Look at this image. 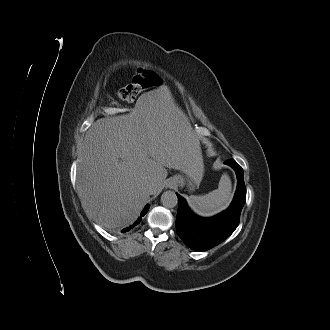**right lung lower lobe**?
Returning a JSON list of instances; mask_svg holds the SVG:
<instances>
[{"instance_id": "1", "label": "right lung lower lobe", "mask_w": 330, "mask_h": 330, "mask_svg": "<svg viewBox=\"0 0 330 330\" xmlns=\"http://www.w3.org/2000/svg\"><path fill=\"white\" fill-rule=\"evenodd\" d=\"M148 209H149V205H146L145 208L143 209L142 213H141V216H144V215L147 213ZM140 221H141V217L138 218V220H137L132 226H130V227H128V228H125V229L123 230V232H127V231H129V230L132 229L134 226L138 225V224L140 223Z\"/></svg>"}]
</instances>
